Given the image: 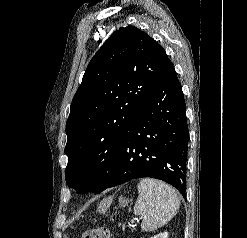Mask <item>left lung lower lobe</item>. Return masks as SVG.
<instances>
[{
  "label": "left lung lower lobe",
  "mask_w": 247,
  "mask_h": 238,
  "mask_svg": "<svg viewBox=\"0 0 247 238\" xmlns=\"http://www.w3.org/2000/svg\"><path fill=\"white\" fill-rule=\"evenodd\" d=\"M189 131L181 84L168 59L163 73L131 125L103 190L142 177L186 190Z\"/></svg>",
  "instance_id": "0a47b994"
}]
</instances>
